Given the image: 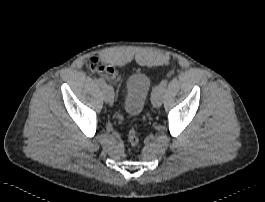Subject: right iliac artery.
Segmentation results:
<instances>
[{"instance_id": "1", "label": "right iliac artery", "mask_w": 265, "mask_h": 202, "mask_svg": "<svg viewBox=\"0 0 265 202\" xmlns=\"http://www.w3.org/2000/svg\"><path fill=\"white\" fill-rule=\"evenodd\" d=\"M97 83H98L102 88L106 86V82H105L103 79H101V78L97 79Z\"/></svg>"}]
</instances>
